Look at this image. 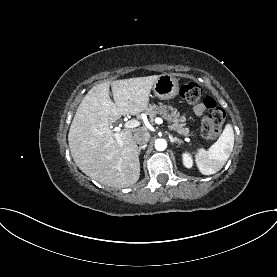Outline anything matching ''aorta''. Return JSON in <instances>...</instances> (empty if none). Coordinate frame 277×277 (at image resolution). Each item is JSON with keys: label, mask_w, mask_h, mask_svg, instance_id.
<instances>
[{"label": "aorta", "mask_w": 277, "mask_h": 277, "mask_svg": "<svg viewBox=\"0 0 277 277\" xmlns=\"http://www.w3.org/2000/svg\"><path fill=\"white\" fill-rule=\"evenodd\" d=\"M155 148L158 151H163L167 148V142L165 139H157L155 141Z\"/></svg>", "instance_id": "obj_1"}]
</instances>
